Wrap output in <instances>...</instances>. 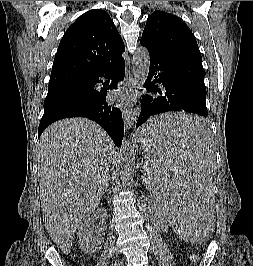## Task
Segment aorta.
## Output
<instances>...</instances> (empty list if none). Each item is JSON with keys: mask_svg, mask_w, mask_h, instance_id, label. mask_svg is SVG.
<instances>
[{"mask_svg": "<svg viewBox=\"0 0 253 266\" xmlns=\"http://www.w3.org/2000/svg\"><path fill=\"white\" fill-rule=\"evenodd\" d=\"M133 76L136 84H144L147 80L150 55L146 48L139 47L134 52ZM118 170L121 184L129 185L134 178L135 173V156L134 149L130 141L124 139L119 149Z\"/></svg>", "mask_w": 253, "mask_h": 266, "instance_id": "1", "label": "aorta"}]
</instances>
